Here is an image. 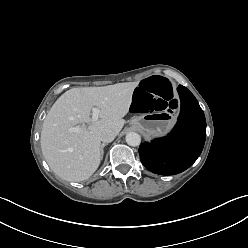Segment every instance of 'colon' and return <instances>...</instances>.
<instances>
[{"mask_svg": "<svg viewBox=\"0 0 248 248\" xmlns=\"http://www.w3.org/2000/svg\"><path fill=\"white\" fill-rule=\"evenodd\" d=\"M178 102L173 98L171 85L163 77L147 78L140 83L129 103L132 112L174 111Z\"/></svg>", "mask_w": 248, "mask_h": 248, "instance_id": "5ec220e1", "label": "colon"}]
</instances>
